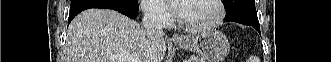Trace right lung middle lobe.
I'll return each mask as SVG.
<instances>
[{
    "mask_svg": "<svg viewBox=\"0 0 331 62\" xmlns=\"http://www.w3.org/2000/svg\"><path fill=\"white\" fill-rule=\"evenodd\" d=\"M89 1L110 2L131 10H139L138 0H71L70 7Z\"/></svg>",
    "mask_w": 331,
    "mask_h": 62,
    "instance_id": "right-lung-middle-lobe-1",
    "label": "right lung middle lobe"
}]
</instances>
